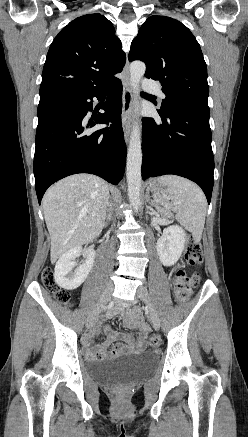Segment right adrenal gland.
I'll list each match as a JSON object with an SVG mask.
<instances>
[{
	"mask_svg": "<svg viewBox=\"0 0 248 437\" xmlns=\"http://www.w3.org/2000/svg\"><path fill=\"white\" fill-rule=\"evenodd\" d=\"M110 210H111V206H110ZM111 215L112 214L109 212V214L107 215V218H106L105 226H107L108 222L111 220Z\"/></svg>",
	"mask_w": 248,
	"mask_h": 437,
	"instance_id": "obj_1",
	"label": "right adrenal gland"
}]
</instances>
